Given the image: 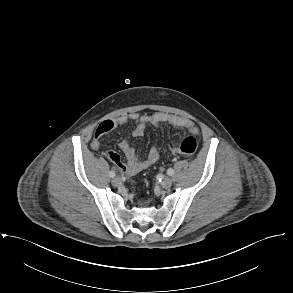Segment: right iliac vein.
I'll use <instances>...</instances> for the list:
<instances>
[{
    "instance_id": "63e3f726",
    "label": "right iliac vein",
    "mask_w": 293,
    "mask_h": 293,
    "mask_svg": "<svg viewBox=\"0 0 293 293\" xmlns=\"http://www.w3.org/2000/svg\"><path fill=\"white\" fill-rule=\"evenodd\" d=\"M122 180L119 176H116L112 179V184L114 186H119L121 184Z\"/></svg>"
}]
</instances>
